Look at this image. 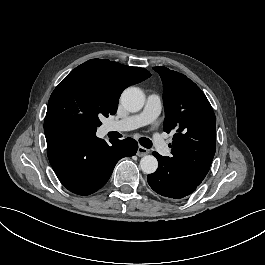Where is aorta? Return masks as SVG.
Segmentation results:
<instances>
[{
	"label": "aorta",
	"mask_w": 265,
	"mask_h": 265,
	"mask_svg": "<svg viewBox=\"0 0 265 265\" xmlns=\"http://www.w3.org/2000/svg\"><path fill=\"white\" fill-rule=\"evenodd\" d=\"M120 102L127 111L138 112L145 103V94L138 87H128L121 94ZM140 167L144 173L152 174L158 168V161L154 156L146 155L141 158Z\"/></svg>",
	"instance_id": "1"
}]
</instances>
